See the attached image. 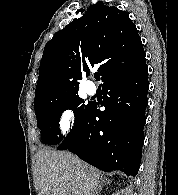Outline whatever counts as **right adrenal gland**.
I'll return each instance as SVG.
<instances>
[{"instance_id":"right-adrenal-gland-1","label":"right adrenal gland","mask_w":178,"mask_h":195,"mask_svg":"<svg viewBox=\"0 0 178 195\" xmlns=\"http://www.w3.org/2000/svg\"><path fill=\"white\" fill-rule=\"evenodd\" d=\"M107 184H110V181L109 180H103L100 187H99V193L102 191L103 187Z\"/></svg>"}]
</instances>
